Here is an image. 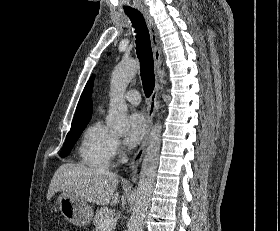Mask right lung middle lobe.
I'll return each instance as SVG.
<instances>
[{
  "mask_svg": "<svg viewBox=\"0 0 280 231\" xmlns=\"http://www.w3.org/2000/svg\"><path fill=\"white\" fill-rule=\"evenodd\" d=\"M87 124L88 123L71 128V130L67 134L62 152L60 154L61 158H64L70 154L71 149L73 148L74 144L76 143L77 139L80 137L82 131L85 129Z\"/></svg>",
  "mask_w": 280,
  "mask_h": 231,
  "instance_id": "dd1d6c3e",
  "label": "right lung middle lobe"
}]
</instances>
